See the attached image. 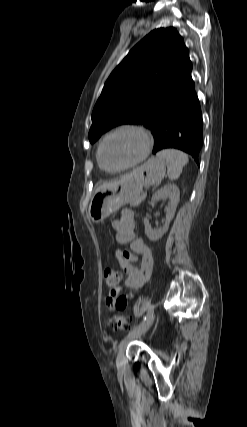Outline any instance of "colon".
<instances>
[{"label": "colon", "instance_id": "obj_1", "mask_svg": "<svg viewBox=\"0 0 247 427\" xmlns=\"http://www.w3.org/2000/svg\"><path fill=\"white\" fill-rule=\"evenodd\" d=\"M120 273L114 269H107L105 272V283L111 290L118 287ZM114 327L118 330H128L133 326V318L128 315H116L113 317Z\"/></svg>", "mask_w": 247, "mask_h": 427}]
</instances>
